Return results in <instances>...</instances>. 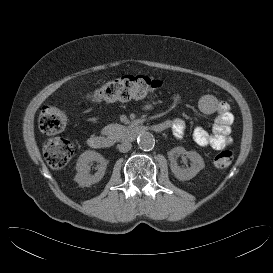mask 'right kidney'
Instances as JSON below:
<instances>
[{
  "mask_svg": "<svg viewBox=\"0 0 273 273\" xmlns=\"http://www.w3.org/2000/svg\"><path fill=\"white\" fill-rule=\"evenodd\" d=\"M95 161L98 163L97 172L94 175H90V162ZM106 161L99 153L93 150H86L83 152L80 157L78 158L76 164L77 173L75 175V181L80 186H90L99 182L106 170Z\"/></svg>",
  "mask_w": 273,
  "mask_h": 273,
  "instance_id": "1",
  "label": "right kidney"
}]
</instances>
